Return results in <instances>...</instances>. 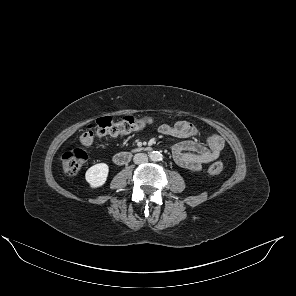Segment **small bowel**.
<instances>
[{"label":"small bowel","mask_w":296,"mask_h":296,"mask_svg":"<svg viewBox=\"0 0 296 296\" xmlns=\"http://www.w3.org/2000/svg\"><path fill=\"white\" fill-rule=\"evenodd\" d=\"M158 132L184 139L171 146V153L179 166L193 172L200 171L204 164L217 160L223 153L224 140L221 136L210 134L206 143H201L196 140L199 135L197 127L185 120L162 124Z\"/></svg>","instance_id":"1"}]
</instances>
